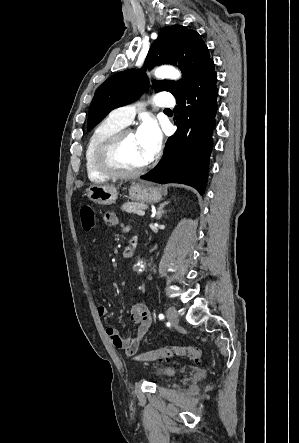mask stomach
Here are the masks:
<instances>
[{"mask_svg":"<svg viewBox=\"0 0 299 443\" xmlns=\"http://www.w3.org/2000/svg\"><path fill=\"white\" fill-rule=\"evenodd\" d=\"M88 198L100 205H111L118 198L117 189L111 185H91L87 188ZM130 199L138 202H158L162 198L161 190L147 182H135L129 188Z\"/></svg>","mask_w":299,"mask_h":443,"instance_id":"1","label":"stomach"}]
</instances>
